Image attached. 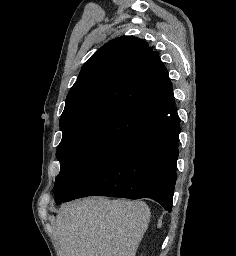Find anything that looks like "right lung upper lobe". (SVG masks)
I'll use <instances>...</instances> for the list:
<instances>
[{"label": "right lung upper lobe", "mask_w": 236, "mask_h": 256, "mask_svg": "<svg viewBox=\"0 0 236 256\" xmlns=\"http://www.w3.org/2000/svg\"><path fill=\"white\" fill-rule=\"evenodd\" d=\"M175 106L168 71L158 52L141 39L122 36L96 51L70 89L61 130L110 112L149 120Z\"/></svg>", "instance_id": "1"}]
</instances>
